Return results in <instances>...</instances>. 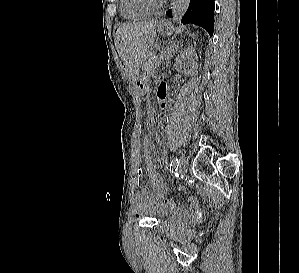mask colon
Instances as JSON below:
<instances>
[{"instance_id": "obj_1", "label": "colon", "mask_w": 299, "mask_h": 273, "mask_svg": "<svg viewBox=\"0 0 299 273\" xmlns=\"http://www.w3.org/2000/svg\"><path fill=\"white\" fill-rule=\"evenodd\" d=\"M142 145H143V148L144 147H148L151 145V137L150 135L146 134L144 137H143V142H142ZM191 206H192V213H193V216L197 219H201L202 218V213L200 211V208L198 207V204H197V201L194 197H189L188 198ZM164 204L170 206L172 204H174L172 198H167L165 199L164 201Z\"/></svg>"}]
</instances>
